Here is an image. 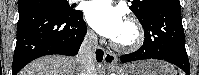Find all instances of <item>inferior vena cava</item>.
Instances as JSON below:
<instances>
[{"mask_svg": "<svg viewBox=\"0 0 199 75\" xmlns=\"http://www.w3.org/2000/svg\"><path fill=\"white\" fill-rule=\"evenodd\" d=\"M98 48V38L95 33L88 32L82 42L77 56L78 61L83 65L82 75H96L95 52Z\"/></svg>", "mask_w": 199, "mask_h": 75, "instance_id": "1", "label": "inferior vena cava"}]
</instances>
